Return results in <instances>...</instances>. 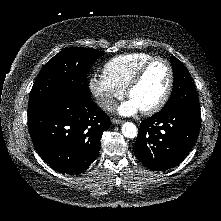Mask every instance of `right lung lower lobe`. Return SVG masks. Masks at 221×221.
<instances>
[{
    "instance_id": "98d812e1",
    "label": "right lung lower lobe",
    "mask_w": 221,
    "mask_h": 221,
    "mask_svg": "<svg viewBox=\"0 0 221 221\" xmlns=\"http://www.w3.org/2000/svg\"><path fill=\"white\" fill-rule=\"evenodd\" d=\"M110 120L90 94L58 92L28 113V128L41 158L63 174L83 173L98 157Z\"/></svg>"
}]
</instances>
